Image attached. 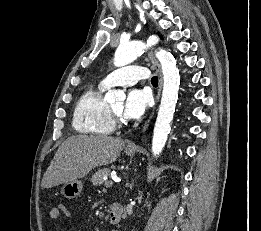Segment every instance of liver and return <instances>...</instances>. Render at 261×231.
<instances>
[{
	"instance_id": "6515ba94",
	"label": "liver",
	"mask_w": 261,
	"mask_h": 231,
	"mask_svg": "<svg viewBox=\"0 0 261 231\" xmlns=\"http://www.w3.org/2000/svg\"><path fill=\"white\" fill-rule=\"evenodd\" d=\"M124 146L122 139L106 135L71 136L59 146L41 186L51 188L82 178L97 166L114 162Z\"/></svg>"
}]
</instances>
